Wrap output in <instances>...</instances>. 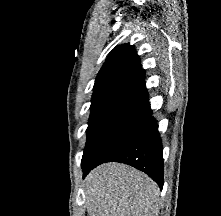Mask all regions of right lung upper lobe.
Returning a JSON list of instances; mask_svg holds the SVG:
<instances>
[{"label":"right lung upper lobe","mask_w":221,"mask_h":216,"mask_svg":"<svg viewBox=\"0 0 221 216\" xmlns=\"http://www.w3.org/2000/svg\"><path fill=\"white\" fill-rule=\"evenodd\" d=\"M144 77L133 46L112 50L95 80L89 122L121 114L151 115Z\"/></svg>","instance_id":"cb5924a9"}]
</instances>
